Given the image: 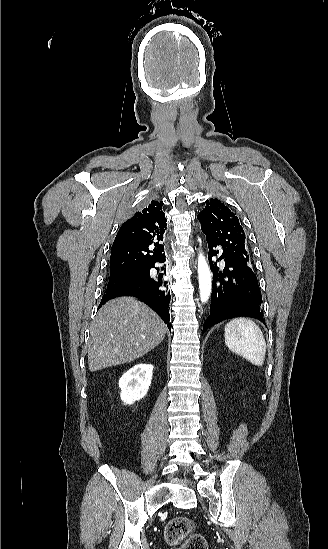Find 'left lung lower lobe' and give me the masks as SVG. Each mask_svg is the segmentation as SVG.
Listing matches in <instances>:
<instances>
[{
  "label": "left lung lower lobe",
  "instance_id": "obj_1",
  "mask_svg": "<svg viewBox=\"0 0 328 549\" xmlns=\"http://www.w3.org/2000/svg\"><path fill=\"white\" fill-rule=\"evenodd\" d=\"M208 247L213 290L210 315L204 322L203 331L225 319L235 317H251L265 323L260 309L262 296L252 269L224 252L213 262L212 257L219 251L214 250L211 244ZM222 259L225 261V268L220 270L217 261Z\"/></svg>",
  "mask_w": 328,
  "mask_h": 549
}]
</instances>
